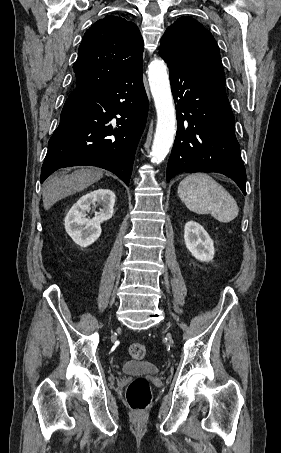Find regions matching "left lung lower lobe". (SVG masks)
I'll list each match as a JSON object with an SVG mask.
<instances>
[{"mask_svg":"<svg viewBox=\"0 0 281 453\" xmlns=\"http://www.w3.org/2000/svg\"><path fill=\"white\" fill-rule=\"evenodd\" d=\"M159 54L169 67L178 121L167 182L182 172H217L234 180L246 195V171L224 71L189 68L162 51Z\"/></svg>","mask_w":281,"mask_h":453,"instance_id":"left-lung-lower-lobe-1","label":"left lung lower lobe"}]
</instances>
